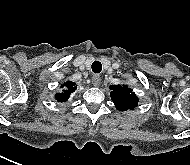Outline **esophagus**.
<instances>
[{
	"label": "esophagus",
	"mask_w": 190,
	"mask_h": 165,
	"mask_svg": "<svg viewBox=\"0 0 190 165\" xmlns=\"http://www.w3.org/2000/svg\"><path fill=\"white\" fill-rule=\"evenodd\" d=\"M100 82H101V77L99 75H97V74L93 75V77H92V84L94 86H99Z\"/></svg>",
	"instance_id": "34e87169"
}]
</instances>
